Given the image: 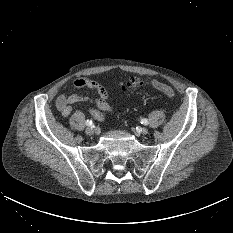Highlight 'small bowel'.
I'll list each match as a JSON object with an SVG mask.
<instances>
[{"instance_id": "1", "label": "small bowel", "mask_w": 233, "mask_h": 233, "mask_svg": "<svg viewBox=\"0 0 233 233\" xmlns=\"http://www.w3.org/2000/svg\"><path fill=\"white\" fill-rule=\"evenodd\" d=\"M73 87L75 89H88L97 95V98L91 100L94 107L89 109V113L94 119L104 120L112 113V107L108 101L109 92L104 86L87 77H79L74 80ZM87 100L86 96L79 94L60 95L56 99V108L63 117H67L75 105Z\"/></svg>"}]
</instances>
